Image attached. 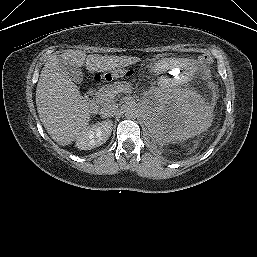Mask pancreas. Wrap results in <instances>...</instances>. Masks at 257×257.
Segmentation results:
<instances>
[{
    "label": "pancreas",
    "instance_id": "1",
    "mask_svg": "<svg viewBox=\"0 0 257 257\" xmlns=\"http://www.w3.org/2000/svg\"><path fill=\"white\" fill-rule=\"evenodd\" d=\"M121 87L130 89L131 84L128 82H115L113 84L105 85L95 93V102L98 105H104L111 102L115 96L114 92Z\"/></svg>",
    "mask_w": 257,
    "mask_h": 257
}]
</instances>
